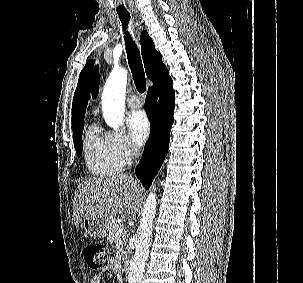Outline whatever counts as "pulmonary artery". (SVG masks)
I'll return each instance as SVG.
<instances>
[{"label":"pulmonary artery","instance_id":"1","mask_svg":"<svg viewBox=\"0 0 303 283\" xmlns=\"http://www.w3.org/2000/svg\"><path fill=\"white\" fill-rule=\"evenodd\" d=\"M127 105L131 109H137L142 106V102L136 95H132L127 99Z\"/></svg>","mask_w":303,"mask_h":283}]
</instances>
